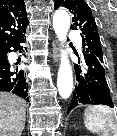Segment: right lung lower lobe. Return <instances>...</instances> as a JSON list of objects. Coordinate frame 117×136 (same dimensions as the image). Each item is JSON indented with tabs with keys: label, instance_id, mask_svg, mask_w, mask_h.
Masks as SVG:
<instances>
[{
	"label": "right lung lower lobe",
	"instance_id": "1",
	"mask_svg": "<svg viewBox=\"0 0 117 136\" xmlns=\"http://www.w3.org/2000/svg\"><path fill=\"white\" fill-rule=\"evenodd\" d=\"M24 32L18 35L8 46V48L0 53V91H10L28 101V83L26 74L23 70L18 69L17 64L10 63L7 54L14 48V51H20L23 47L20 43H24Z\"/></svg>",
	"mask_w": 117,
	"mask_h": 136
}]
</instances>
